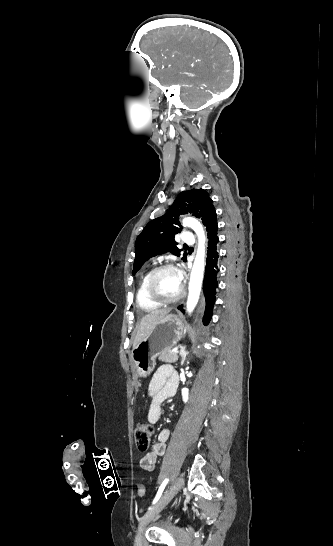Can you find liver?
<instances>
[{
	"label": "liver",
	"instance_id": "1",
	"mask_svg": "<svg viewBox=\"0 0 333 546\" xmlns=\"http://www.w3.org/2000/svg\"><path fill=\"white\" fill-rule=\"evenodd\" d=\"M171 311V309H158L155 311L150 312L149 314L145 315L138 326V330L133 342V348L137 347V345L146 339L148 335L151 333V331L154 329V327L162 320L164 319L168 313Z\"/></svg>",
	"mask_w": 333,
	"mask_h": 546
}]
</instances>
